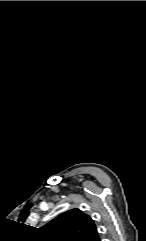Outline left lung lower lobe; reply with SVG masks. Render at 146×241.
Returning <instances> with one entry per match:
<instances>
[{
  "mask_svg": "<svg viewBox=\"0 0 146 241\" xmlns=\"http://www.w3.org/2000/svg\"><path fill=\"white\" fill-rule=\"evenodd\" d=\"M91 241H100L99 235L97 234Z\"/></svg>",
  "mask_w": 146,
  "mask_h": 241,
  "instance_id": "left-lung-lower-lobe-1",
  "label": "left lung lower lobe"
}]
</instances>
